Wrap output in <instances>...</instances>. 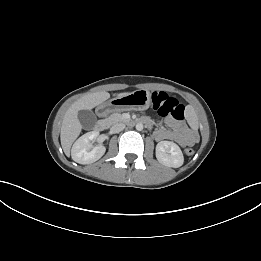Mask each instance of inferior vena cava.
<instances>
[{
	"instance_id": "inferior-vena-cava-1",
	"label": "inferior vena cava",
	"mask_w": 261,
	"mask_h": 261,
	"mask_svg": "<svg viewBox=\"0 0 261 261\" xmlns=\"http://www.w3.org/2000/svg\"><path fill=\"white\" fill-rule=\"evenodd\" d=\"M124 128H125V124L124 123H116V124H114L111 127L110 131L112 133H119V132L123 131Z\"/></svg>"
}]
</instances>
